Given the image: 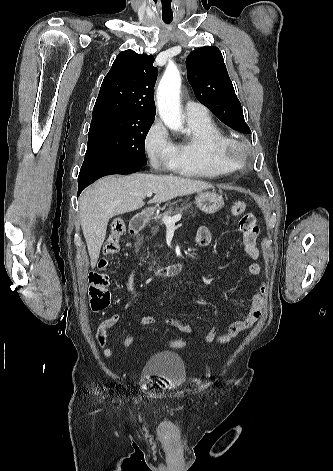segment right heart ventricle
Returning a JSON list of instances; mask_svg holds the SVG:
<instances>
[{
    "mask_svg": "<svg viewBox=\"0 0 333 471\" xmlns=\"http://www.w3.org/2000/svg\"><path fill=\"white\" fill-rule=\"evenodd\" d=\"M189 136L174 146L170 168L184 176L213 178L234 171L222 157L229 139L225 131L208 115L188 119Z\"/></svg>",
    "mask_w": 333,
    "mask_h": 471,
    "instance_id": "obj_1",
    "label": "right heart ventricle"
}]
</instances>
